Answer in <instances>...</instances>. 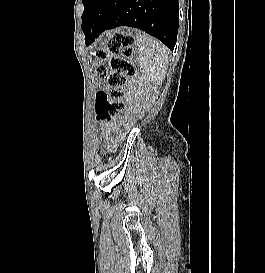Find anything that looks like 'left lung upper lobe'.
I'll list each match as a JSON object with an SVG mask.
<instances>
[{
  "label": "left lung upper lobe",
  "instance_id": "5c2ea615",
  "mask_svg": "<svg viewBox=\"0 0 265 273\" xmlns=\"http://www.w3.org/2000/svg\"><path fill=\"white\" fill-rule=\"evenodd\" d=\"M83 5H84V12L82 14V22H83V17L85 16L88 9V0H83Z\"/></svg>",
  "mask_w": 265,
  "mask_h": 273
}]
</instances>
